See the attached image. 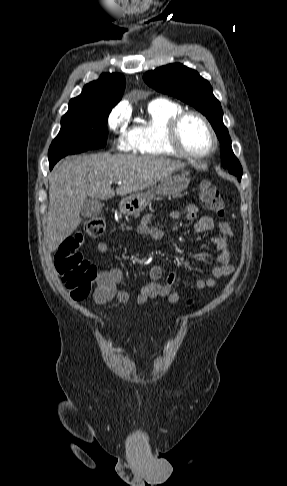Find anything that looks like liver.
Instances as JSON below:
<instances>
[{
  "label": "liver",
  "mask_w": 287,
  "mask_h": 486,
  "mask_svg": "<svg viewBox=\"0 0 287 486\" xmlns=\"http://www.w3.org/2000/svg\"><path fill=\"white\" fill-rule=\"evenodd\" d=\"M180 161L157 157L93 154L72 156L49 177L47 249L54 252L80 225L81 205L87 197L108 200L155 185L177 170ZM121 181L116 191L113 182Z\"/></svg>",
  "instance_id": "liver-1"
}]
</instances>
